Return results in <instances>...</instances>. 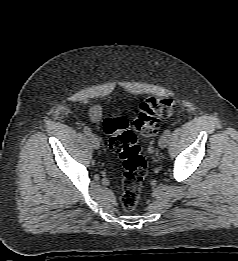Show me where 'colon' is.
<instances>
[{
	"instance_id": "colon-1",
	"label": "colon",
	"mask_w": 238,
	"mask_h": 261,
	"mask_svg": "<svg viewBox=\"0 0 238 261\" xmlns=\"http://www.w3.org/2000/svg\"><path fill=\"white\" fill-rule=\"evenodd\" d=\"M176 101L169 98L151 97L139 106L134 128L144 136L155 135L161 120L175 112ZM104 132L110 136L109 147L122 160L124 167L121 204L125 211H132L139 202L141 187L147 174V163L141 155L136 135L128 128L123 117L107 118L103 122Z\"/></svg>"
}]
</instances>
